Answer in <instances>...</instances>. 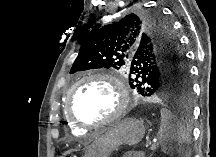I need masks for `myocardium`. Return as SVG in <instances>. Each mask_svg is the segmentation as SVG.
Here are the masks:
<instances>
[{
	"instance_id": "obj_1",
	"label": "myocardium",
	"mask_w": 216,
	"mask_h": 157,
	"mask_svg": "<svg viewBox=\"0 0 216 157\" xmlns=\"http://www.w3.org/2000/svg\"><path fill=\"white\" fill-rule=\"evenodd\" d=\"M92 80H99L105 82L112 86L116 91V107L114 111L106 118L99 120V121H92L86 122L78 118L72 110V95L74 90L84 82L92 81ZM129 92L126 87V84L117 76L105 73V72H96L90 73L78 79L69 89L66 99V114L68 119L76 124L79 127L83 128H91L103 125H110L116 121H118L127 111L129 107Z\"/></svg>"
}]
</instances>
